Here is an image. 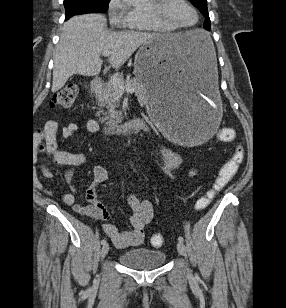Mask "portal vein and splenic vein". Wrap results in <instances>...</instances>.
Wrapping results in <instances>:
<instances>
[{
    "mask_svg": "<svg viewBox=\"0 0 286 308\" xmlns=\"http://www.w3.org/2000/svg\"><path fill=\"white\" fill-rule=\"evenodd\" d=\"M102 55L105 56V57H108V56L111 55V52H110V51H103V52H102ZM111 80L113 81L114 87H115V89H116V91H117V93H118L119 95H122L124 92H130V93H134V92H135V90H134L132 87H130V86H128V85H124V84L119 80V78H117V77H112Z\"/></svg>",
    "mask_w": 286,
    "mask_h": 308,
    "instance_id": "18ae733b",
    "label": "portal vein and splenic vein"
}]
</instances>
